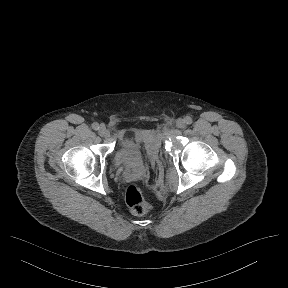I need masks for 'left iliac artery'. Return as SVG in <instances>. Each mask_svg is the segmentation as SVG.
Masks as SVG:
<instances>
[{
  "mask_svg": "<svg viewBox=\"0 0 288 288\" xmlns=\"http://www.w3.org/2000/svg\"><path fill=\"white\" fill-rule=\"evenodd\" d=\"M185 122L186 124H191L192 123V118L190 116L185 117Z\"/></svg>",
  "mask_w": 288,
  "mask_h": 288,
  "instance_id": "1",
  "label": "left iliac artery"
}]
</instances>
